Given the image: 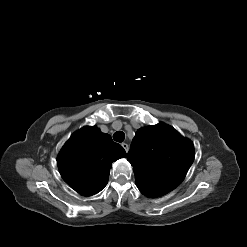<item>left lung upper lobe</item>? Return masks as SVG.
Listing matches in <instances>:
<instances>
[{
	"label": "left lung upper lobe",
	"mask_w": 247,
	"mask_h": 247,
	"mask_svg": "<svg viewBox=\"0 0 247 247\" xmlns=\"http://www.w3.org/2000/svg\"><path fill=\"white\" fill-rule=\"evenodd\" d=\"M194 145L164 123L137 130L127 159L136 186L148 197H160L179 186L194 161Z\"/></svg>",
	"instance_id": "left-lung-upper-lobe-1"
}]
</instances>
